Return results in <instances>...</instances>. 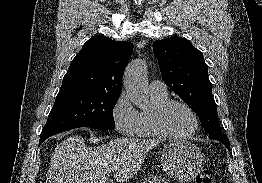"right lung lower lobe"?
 Returning a JSON list of instances; mask_svg holds the SVG:
<instances>
[{"mask_svg": "<svg viewBox=\"0 0 262 183\" xmlns=\"http://www.w3.org/2000/svg\"><path fill=\"white\" fill-rule=\"evenodd\" d=\"M50 136H51V134L41 135V136H40L39 145H40L45 139H47V138L50 137Z\"/></svg>", "mask_w": 262, "mask_h": 183, "instance_id": "1", "label": "right lung lower lobe"}]
</instances>
